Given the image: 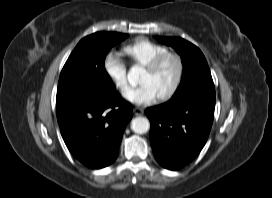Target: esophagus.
Here are the masks:
<instances>
[{"label":"esophagus","mask_w":272,"mask_h":198,"mask_svg":"<svg viewBox=\"0 0 272 198\" xmlns=\"http://www.w3.org/2000/svg\"><path fill=\"white\" fill-rule=\"evenodd\" d=\"M133 113L135 116H140L144 114V110L142 108L135 107L133 108Z\"/></svg>","instance_id":"1"}]
</instances>
